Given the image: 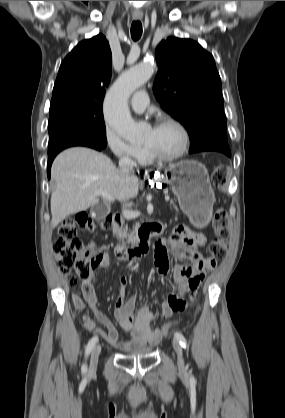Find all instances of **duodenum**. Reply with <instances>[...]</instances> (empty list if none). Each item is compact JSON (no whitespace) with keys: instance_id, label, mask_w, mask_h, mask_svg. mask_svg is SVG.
<instances>
[{"instance_id":"1","label":"duodenum","mask_w":285,"mask_h":418,"mask_svg":"<svg viewBox=\"0 0 285 418\" xmlns=\"http://www.w3.org/2000/svg\"><path fill=\"white\" fill-rule=\"evenodd\" d=\"M113 233L119 236L122 228V217L119 213H115L112 217ZM157 231L156 225H150L146 228L145 233L140 236V241L135 246L118 245L115 247V256L120 260H130L136 257L144 256L149 251V241L151 235Z\"/></svg>"}]
</instances>
